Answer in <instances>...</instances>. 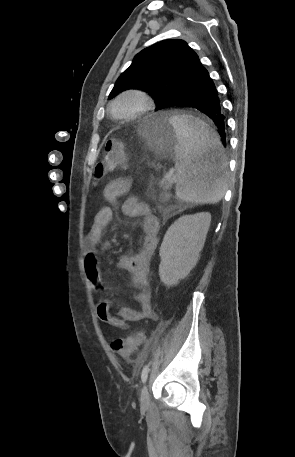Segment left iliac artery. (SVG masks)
I'll use <instances>...</instances> for the list:
<instances>
[{
    "label": "left iliac artery",
    "mask_w": 295,
    "mask_h": 457,
    "mask_svg": "<svg viewBox=\"0 0 295 457\" xmlns=\"http://www.w3.org/2000/svg\"><path fill=\"white\" fill-rule=\"evenodd\" d=\"M148 373H149V365H145L143 370H142V373H141V380L143 383L146 382L147 380V377H148Z\"/></svg>",
    "instance_id": "obj_1"
}]
</instances>
